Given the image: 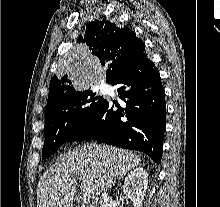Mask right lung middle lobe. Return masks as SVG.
<instances>
[{"label":"right lung middle lobe","mask_w":220,"mask_h":207,"mask_svg":"<svg viewBox=\"0 0 220 207\" xmlns=\"http://www.w3.org/2000/svg\"><path fill=\"white\" fill-rule=\"evenodd\" d=\"M105 99L90 90H79L59 100L45 113L42 158L51 156L100 109Z\"/></svg>","instance_id":"1"}]
</instances>
